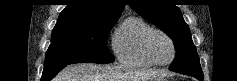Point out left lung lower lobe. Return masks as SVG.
<instances>
[{
	"label": "left lung lower lobe",
	"instance_id": "1",
	"mask_svg": "<svg viewBox=\"0 0 237 81\" xmlns=\"http://www.w3.org/2000/svg\"><path fill=\"white\" fill-rule=\"evenodd\" d=\"M197 78L199 81H204L203 75H190Z\"/></svg>",
	"mask_w": 237,
	"mask_h": 81
}]
</instances>
